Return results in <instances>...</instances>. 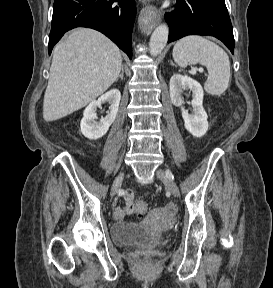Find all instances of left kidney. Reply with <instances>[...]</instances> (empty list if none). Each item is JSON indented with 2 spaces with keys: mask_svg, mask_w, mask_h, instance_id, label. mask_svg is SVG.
I'll return each mask as SVG.
<instances>
[{
  "mask_svg": "<svg viewBox=\"0 0 273 288\" xmlns=\"http://www.w3.org/2000/svg\"><path fill=\"white\" fill-rule=\"evenodd\" d=\"M190 89L193 99L191 101L193 113L189 114L184 109L183 98L181 96L183 90ZM170 97L174 106L180 107L184 126L194 137H202L208 130L207 114L203 108V88L194 79L186 75L175 74L170 79Z\"/></svg>",
  "mask_w": 273,
  "mask_h": 288,
  "instance_id": "5707ae66",
  "label": "left kidney"
}]
</instances>
